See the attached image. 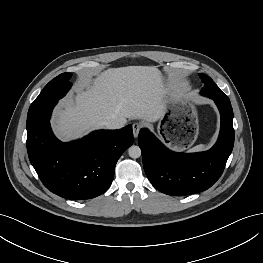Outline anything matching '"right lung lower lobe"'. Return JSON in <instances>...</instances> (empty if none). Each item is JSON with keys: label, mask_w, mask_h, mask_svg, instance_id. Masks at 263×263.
Wrapping results in <instances>:
<instances>
[{"label": "right lung lower lobe", "mask_w": 263, "mask_h": 263, "mask_svg": "<svg viewBox=\"0 0 263 263\" xmlns=\"http://www.w3.org/2000/svg\"><path fill=\"white\" fill-rule=\"evenodd\" d=\"M56 103L27 116L30 162L54 194L71 200L97 197L110 187L119 157L134 141L132 126L94 131L80 140L62 143L49 122Z\"/></svg>", "instance_id": "98d812e1"}]
</instances>
